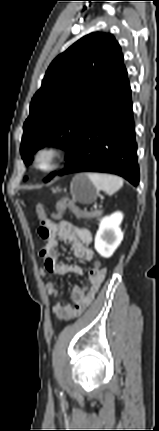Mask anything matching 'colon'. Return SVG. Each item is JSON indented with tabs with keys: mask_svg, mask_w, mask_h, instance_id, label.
<instances>
[{
	"mask_svg": "<svg viewBox=\"0 0 159 431\" xmlns=\"http://www.w3.org/2000/svg\"><path fill=\"white\" fill-rule=\"evenodd\" d=\"M70 210V212L75 215L78 218H89L93 216V213L88 212L86 210L81 209L80 207H78L73 201L69 200V199H63L61 201H59L56 204V212L54 214L55 217H59L63 211L65 210ZM36 212H37V216L39 219L40 224L45 223V221L48 219L47 218V212H48V208L40 203L36 206ZM103 263V261L100 258H97L95 260V264H92V267H96L100 264Z\"/></svg>",
	"mask_w": 159,
	"mask_h": 431,
	"instance_id": "5ec220e1",
	"label": "colon"
}]
</instances>
